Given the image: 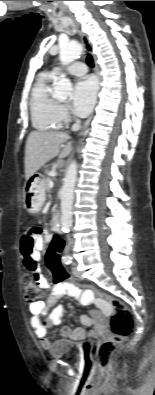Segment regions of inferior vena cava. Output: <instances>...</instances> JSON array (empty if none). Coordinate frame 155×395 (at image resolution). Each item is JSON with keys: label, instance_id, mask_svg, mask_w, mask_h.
<instances>
[{"label": "inferior vena cava", "instance_id": "1", "mask_svg": "<svg viewBox=\"0 0 155 395\" xmlns=\"http://www.w3.org/2000/svg\"><path fill=\"white\" fill-rule=\"evenodd\" d=\"M81 128V121L79 119L75 120V123L72 126V131H78ZM69 240V246L71 245V241Z\"/></svg>", "mask_w": 155, "mask_h": 395}]
</instances>
